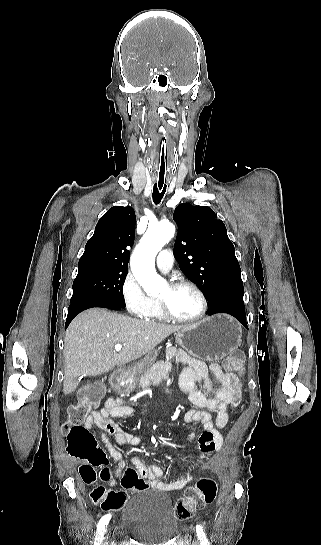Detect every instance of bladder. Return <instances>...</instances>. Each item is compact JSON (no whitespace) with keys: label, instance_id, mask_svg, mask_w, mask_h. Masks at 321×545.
<instances>
[{"label":"bladder","instance_id":"31cf9c89","mask_svg":"<svg viewBox=\"0 0 321 545\" xmlns=\"http://www.w3.org/2000/svg\"><path fill=\"white\" fill-rule=\"evenodd\" d=\"M122 527L139 543L160 545L178 532V521L165 491L137 492L122 511Z\"/></svg>","mask_w":321,"mask_h":545}]
</instances>
